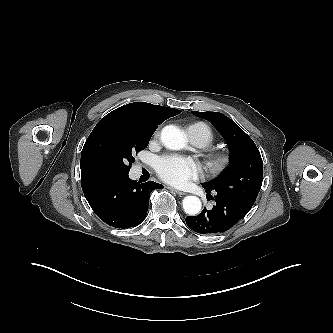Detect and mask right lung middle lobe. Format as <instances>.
Listing matches in <instances>:
<instances>
[{"label": "right lung middle lobe", "instance_id": "right-lung-middle-lobe-1", "mask_svg": "<svg viewBox=\"0 0 333 333\" xmlns=\"http://www.w3.org/2000/svg\"><path fill=\"white\" fill-rule=\"evenodd\" d=\"M153 133L120 120L99 121L85 142L81 159L96 176L128 174L133 156L147 147Z\"/></svg>", "mask_w": 333, "mask_h": 333}]
</instances>
